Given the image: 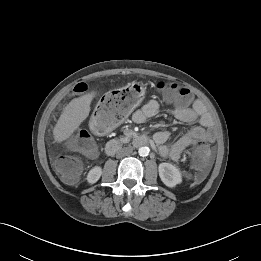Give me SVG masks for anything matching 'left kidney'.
Segmentation results:
<instances>
[{"instance_id": "5707ae66", "label": "left kidney", "mask_w": 261, "mask_h": 261, "mask_svg": "<svg viewBox=\"0 0 261 261\" xmlns=\"http://www.w3.org/2000/svg\"><path fill=\"white\" fill-rule=\"evenodd\" d=\"M159 176L162 182L170 188L182 182L180 170L171 163H160L158 166Z\"/></svg>"}]
</instances>
